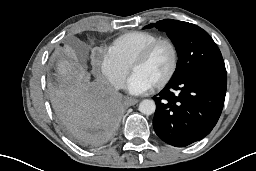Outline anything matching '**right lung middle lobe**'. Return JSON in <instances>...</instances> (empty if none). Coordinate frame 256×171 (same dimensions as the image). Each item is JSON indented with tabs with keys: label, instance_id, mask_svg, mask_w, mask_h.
Segmentation results:
<instances>
[{
	"label": "right lung middle lobe",
	"instance_id": "right-lung-middle-lobe-1",
	"mask_svg": "<svg viewBox=\"0 0 256 171\" xmlns=\"http://www.w3.org/2000/svg\"><path fill=\"white\" fill-rule=\"evenodd\" d=\"M72 94H73V91L71 89L68 90L64 94L54 93L53 94L54 105L61 103V102H65L66 100H69V98H71Z\"/></svg>",
	"mask_w": 256,
	"mask_h": 171
}]
</instances>
